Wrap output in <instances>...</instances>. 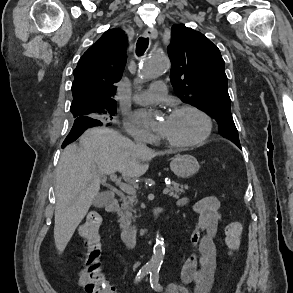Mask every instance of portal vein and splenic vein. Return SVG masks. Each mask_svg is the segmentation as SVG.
Returning a JSON list of instances; mask_svg holds the SVG:
<instances>
[{"label":"portal vein and splenic vein","mask_w":293,"mask_h":293,"mask_svg":"<svg viewBox=\"0 0 293 293\" xmlns=\"http://www.w3.org/2000/svg\"><path fill=\"white\" fill-rule=\"evenodd\" d=\"M110 179L115 182L116 184H118L119 188L127 193V194H130V195H134L136 193V190L133 186L129 185V184H126V183H123L119 180V178L117 177L116 174H111L110 175ZM169 193V189L168 188H164L163 189V194H168Z\"/></svg>","instance_id":"1"}]
</instances>
